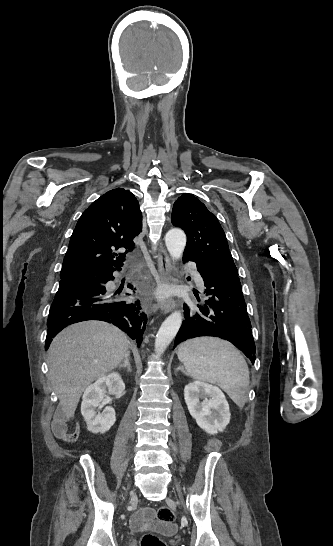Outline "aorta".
Instances as JSON below:
<instances>
[{
	"instance_id": "1",
	"label": "aorta",
	"mask_w": 333,
	"mask_h": 546,
	"mask_svg": "<svg viewBox=\"0 0 333 546\" xmlns=\"http://www.w3.org/2000/svg\"><path fill=\"white\" fill-rule=\"evenodd\" d=\"M168 252L173 259H179L186 246V235L178 228L169 230L165 236ZM182 324V314L179 311L172 313L162 323L155 339V352L161 355L176 336Z\"/></svg>"
}]
</instances>
